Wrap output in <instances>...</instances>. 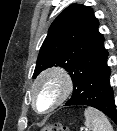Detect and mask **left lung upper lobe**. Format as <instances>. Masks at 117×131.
<instances>
[{
	"label": "left lung upper lobe",
	"instance_id": "obj_1",
	"mask_svg": "<svg viewBox=\"0 0 117 131\" xmlns=\"http://www.w3.org/2000/svg\"><path fill=\"white\" fill-rule=\"evenodd\" d=\"M99 22L88 6L72 4L52 23L40 49L33 77L42 70L61 66L69 72L74 90L106 56Z\"/></svg>",
	"mask_w": 117,
	"mask_h": 131
}]
</instances>
